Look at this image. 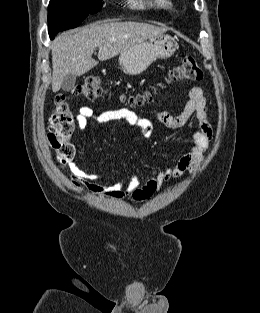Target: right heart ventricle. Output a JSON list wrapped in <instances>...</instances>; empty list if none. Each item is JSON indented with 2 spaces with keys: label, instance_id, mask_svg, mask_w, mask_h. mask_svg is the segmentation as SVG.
Returning <instances> with one entry per match:
<instances>
[{
  "label": "right heart ventricle",
  "instance_id": "right-heart-ventricle-1",
  "mask_svg": "<svg viewBox=\"0 0 260 313\" xmlns=\"http://www.w3.org/2000/svg\"><path fill=\"white\" fill-rule=\"evenodd\" d=\"M132 4L139 8L169 9L171 0H131Z\"/></svg>",
  "mask_w": 260,
  "mask_h": 313
}]
</instances>
